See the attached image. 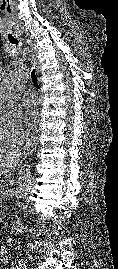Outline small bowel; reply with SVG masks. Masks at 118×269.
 Listing matches in <instances>:
<instances>
[{"label":"small bowel","mask_w":118,"mask_h":269,"mask_svg":"<svg viewBox=\"0 0 118 269\" xmlns=\"http://www.w3.org/2000/svg\"><path fill=\"white\" fill-rule=\"evenodd\" d=\"M4 262H5V260H4ZM0 269H8V268H0Z\"/></svg>","instance_id":"obj_1"}]
</instances>
